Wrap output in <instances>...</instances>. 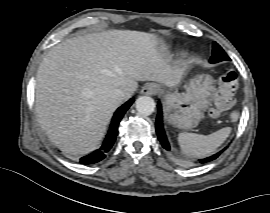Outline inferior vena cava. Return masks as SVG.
Segmentation results:
<instances>
[{"label":"inferior vena cava","instance_id":"1","mask_svg":"<svg viewBox=\"0 0 270 213\" xmlns=\"http://www.w3.org/2000/svg\"><path fill=\"white\" fill-rule=\"evenodd\" d=\"M110 97L114 101H123L126 97V92L122 89L116 88L110 92Z\"/></svg>","mask_w":270,"mask_h":213}]
</instances>
